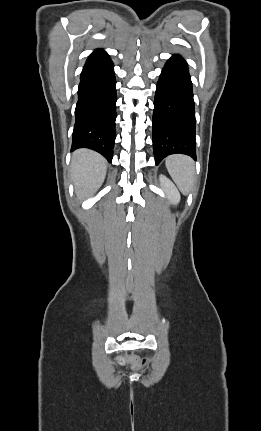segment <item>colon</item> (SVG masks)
I'll use <instances>...</instances> for the list:
<instances>
[{"label":"colon","mask_w":261,"mask_h":431,"mask_svg":"<svg viewBox=\"0 0 261 431\" xmlns=\"http://www.w3.org/2000/svg\"><path fill=\"white\" fill-rule=\"evenodd\" d=\"M117 362L122 364L125 362V359L123 357H119V358H117Z\"/></svg>","instance_id":"colon-1"}]
</instances>
